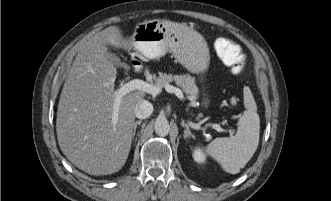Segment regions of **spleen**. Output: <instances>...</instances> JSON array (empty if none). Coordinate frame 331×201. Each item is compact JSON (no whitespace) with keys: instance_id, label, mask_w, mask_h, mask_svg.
<instances>
[{"instance_id":"3e777b00","label":"spleen","mask_w":331,"mask_h":201,"mask_svg":"<svg viewBox=\"0 0 331 201\" xmlns=\"http://www.w3.org/2000/svg\"><path fill=\"white\" fill-rule=\"evenodd\" d=\"M246 110L238 122L233 137L215 138L206 146V152L214 158L224 171L239 173L252 158L259 144L260 119L252 95L245 98Z\"/></svg>"}]
</instances>
